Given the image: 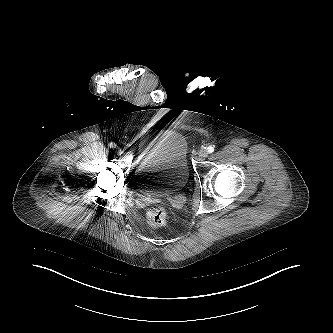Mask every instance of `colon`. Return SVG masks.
<instances>
[{
	"mask_svg": "<svg viewBox=\"0 0 333 333\" xmlns=\"http://www.w3.org/2000/svg\"><path fill=\"white\" fill-rule=\"evenodd\" d=\"M169 213L164 207H154L147 211V223L154 228H160L167 224Z\"/></svg>",
	"mask_w": 333,
	"mask_h": 333,
	"instance_id": "colon-1",
	"label": "colon"
}]
</instances>
